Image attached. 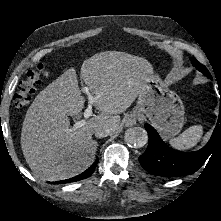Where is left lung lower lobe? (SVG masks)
<instances>
[{
    "instance_id": "left-lung-lower-lobe-1",
    "label": "left lung lower lobe",
    "mask_w": 221,
    "mask_h": 221,
    "mask_svg": "<svg viewBox=\"0 0 221 221\" xmlns=\"http://www.w3.org/2000/svg\"><path fill=\"white\" fill-rule=\"evenodd\" d=\"M149 134L146 151L139 157L141 166L150 174L162 177H177L196 172L218 147H221V108L218 122L210 141L196 152H178L168 147L156 130L144 125Z\"/></svg>"
}]
</instances>
